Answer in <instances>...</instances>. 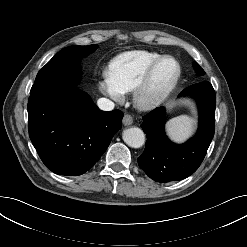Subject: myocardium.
<instances>
[{
	"mask_svg": "<svg viewBox=\"0 0 247 247\" xmlns=\"http://www.w3.org/2000/svg\"><path fill=\"white\" fill-rule=\"evenodd\" d=\"M165 60H171L176 65V74L174 78L163 88L153 91L151 89V83L154 73L161 62ZM182 69L177 59L172 56L164 55L155 60L151 66L147 69L143 77L133 89V100L135 105L143 110L151 109L161 102H163L167 96L173 91L178 84L181 77Z\"/></svg>",
	"mask_w": 247,
	"mask_h": 247,
	"instance_id": "1",
	"label": "myocardium"
}]
</instances>
